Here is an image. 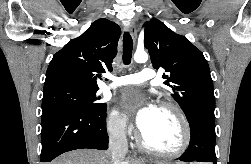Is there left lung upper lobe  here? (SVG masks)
I'll list each match as a JSON object with an SVG mask.
<instances>
[{
    "label": "left lung upper lobe",
    "mask_w": 251,
    "mask_h": 164,
    "mask_svg": "<svg viewBox=\"0 0 251 164\" xmlns=\"http://www.w3.org/2000/svg\"><path fill=\"white\" fill-rule=\"evenodd\" d=\"M144 46L148 49L155 69L164 68L163 75L187 119L194 114L214 116L215 97L209 65L203 53L186 37L170 30L158 19L144 25Z\"/></svg>",
    "instance_id": "5c2ea615"
}]
</instances>
